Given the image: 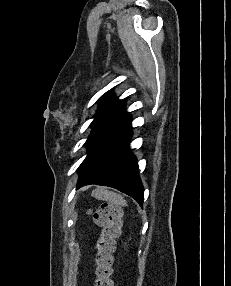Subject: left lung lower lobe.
Listing matches in <instances>:
<instances>
[{
	"label": "left lung lower lobe",
	"mask_w": 231,
	"mask_h": 286,
	"mask_svg": "<svg viewBox=\"0 0 231 286\" xmlns=\"http://www.w3.org/2000/svg\"><path fill=\"white\" fill-rule=\"evenodd\" d=\"M125 103L97 123L85 145L88 154L79 168L78 187L88 184L116 188L141 206L144 189L138 176L136 158L129 152L131 116Z\"/></svg>",
	"instance_id": "obj_1"
}]
</instances>
